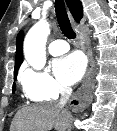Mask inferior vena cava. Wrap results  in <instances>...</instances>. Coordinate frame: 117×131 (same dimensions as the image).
Segmentation results:
<instances>
[{"mask_svg":"<svg viewBox=\"0 0 117 131\" xmlns=\"http://www.w3.org/2000/svg\"><path fill=\"white\" fill-rule=\"evenodd\" d=\"M60 92H61V98L59 100V106L64 107L67 101L69 100V97L72 94V88L67 86H62L60 88Z\"/></svg>","mask_w":117,"mask_h":131,"instance_id":"obj_1","label":"inferior vena cava"}]
</instances>
